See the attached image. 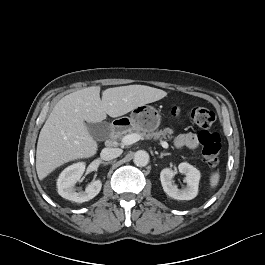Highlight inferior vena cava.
<instances>
[{
	"label": "inferior vena cava",
	"instance_id": "inferior-vena-cava-1",
	"mask_svg": "<svg viewBox=\"0 0 265 265\" xmlns=\"http://www.w3.org/2000/svg\"><path fill=\"white\" fill-rule=\"evenodd\" d=\"M122 154V149L120 148H104L101 151V158L105 161H109L119 157Z\"/></svg>",
	"mask_w": 265,
	"mask_h": 265
}]
</instances>
